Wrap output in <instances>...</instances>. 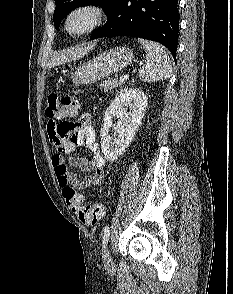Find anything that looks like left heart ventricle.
Listing matches in <instances>:
<instances>
[{"label": "left heart ventricle", "mask_w": 233, "mask_h": 294, "mask_svg": "<svg viewBox=\"0 0 233 294\" xmlns=\"http://www.w3.org/2000/svg\"><path fill=\"white\" fill-rule=\"evenodd\" d=\"M91 20L92 17L89 13H78L71 19L69 23V29L72 32H80L91 23Z\"/></svg>", "instance_id": "1"}]
</instances>
